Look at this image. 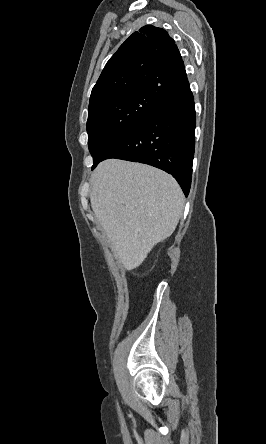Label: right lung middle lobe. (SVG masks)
I'll list each match as a JSON object with an SVG mask.
<instances>
[{"mask_svg":"<svg viewBox=\"0 0 266 444\" xmlns=\"http://www.w3.org/2000/svg\"><path fill=\"white\" fill-rule=\"evenodd\" d=\"M161 99L143 91L128 92L98 103L88 109V146L93 157L92 169L108 149L138 126Z\"/></svg>","mask_w":266,"mask_h":444,"instance_id":"1","label":"right lung middle lobe"}]
</instances>
